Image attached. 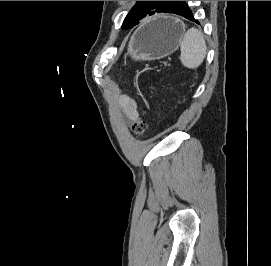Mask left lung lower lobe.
Masks as SVG:
<instances>
[{"mask_svg":"<svg viewBox=\"0 0 271 266\" xmlns=\"http://www.w3.org/2000/svg\"><path fill=\"white\" fill-rule=\"evenodd\" d=\"M157 13H160V12H157ZM165 13H174L199 24V22L193 18V11L188 6V4L184 1H178L171 10ZM154 14L155 13H152V14H149L148 16L154 15Z\"/></svg>","mask_w":271,"mask_h":266,"instance_id":"1","label":"left lung lower lobe"}]
</instances>
